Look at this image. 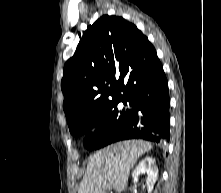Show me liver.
I'll return each mask as SVG.
<instances>
[{
  "label": "liver",
  "instance_id": "1",
  "mask_svg": "<svg viewBox=\"0 0 221 193\" xmlns=\"http://www.w3.org/2000/svg\"><path fill=\"white\" fill-rule=\"evenodd\" d=\"M152 147L150 142L127 140L97 151L88 161L78 193H105L110 188L123 192L130 170Z\"/></svg>",
  "mask_w": 221,
  "mask_h": 193
}]
</instances>
